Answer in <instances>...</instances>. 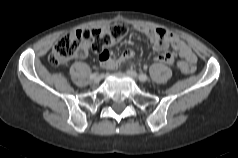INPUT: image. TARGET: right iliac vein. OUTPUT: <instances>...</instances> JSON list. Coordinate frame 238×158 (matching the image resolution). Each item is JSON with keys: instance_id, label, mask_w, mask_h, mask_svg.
<instances>
[{"instance_id": "obj_1", "label": "right iliac vein", "mask_w": 238, "mask_h": 158, "mask_svg": "<svg viewBox=\"0 0 238 158\" xmlns=\"http://www.w3.org/2000/svg\"><path fill=\"white\" fill-rule=\"evenodd\" d=\"M100 80H101V78L99 76H97V77L94 78V83L97 84V83L100 82Z\"/></svg>"}]
</instances>
